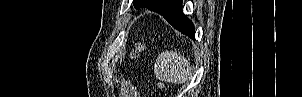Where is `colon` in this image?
<instances>
[{"mask_svg": "<svg viewBox=\"0 0 302 97\" xmlns=\"http://www.w3.org/2000/svg\"><path fill=\"white\" fill-rule=\"evenodd\" d=\"M143 50H144L143 44H141V43L136 44L135 49L133 50L132 56L134 58L139 57Z\"/></svg>", "mask_w": 302, "mask_h": 97, "instance_id": "colon-1", "label": "colon"}]
</instances>
